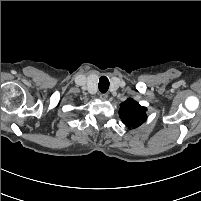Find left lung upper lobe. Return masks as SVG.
<instances>
[{
  "label": "left lung upper lobe",
  "instance_id": "5c2ea615",
  "mask_svg": "<svg viewBox=\"0 0 201 201\" xmlns=\"http://www.w3.org/2000/svg\"><path fill=\"white\" fill-rule=\"evenodd\" d=\"M146 111V107L129 98L120 105L119 115L127 127L136 128L146 121Z\"/></svg>",
  "mask_w": 201,
  "mask_h": 201
}]
</instances>
